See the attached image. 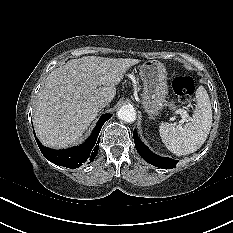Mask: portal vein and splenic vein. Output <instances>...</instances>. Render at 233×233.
<instances>
[{
  "label": "portal vein and splenic vein",
  "instance_id": "18ae733b",
  "mask_svg": "<svg viewBox=\"0 0 233 233\" xmlns=\"http://www.w3.org/2000/svg\"><path fill=\"white\" fill-rule=\"evenodd\" d=\"M175 113L181 115L182 119L179 121L180 125H182L184 122H186L188 119H190L187 111L184 109H178V110H176Z\"/></svg>",
  "mask_w": 233,
  "mask_h": 233
}]
</instances>
